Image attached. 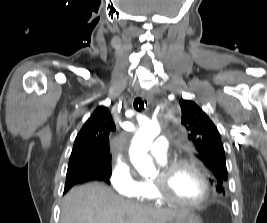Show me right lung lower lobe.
Masks as SVG:
<instances>
[{"instance_id":"1","label":"right lung lower lobe","mask_w":267,"mask_h":223,"mask_svg":"<svg viewBox=\"0 0 267 223\" xmlns=\"http://www.w3.org/2000/svg\"><path fill=\"white\" fill-rule=\"evenodd\" d=\"M87 180H101L105 181V176L98 172L93 171H77L67 175L64 193L69 190L73 185L87 181Z\"/></svg>"}]
</instances>
